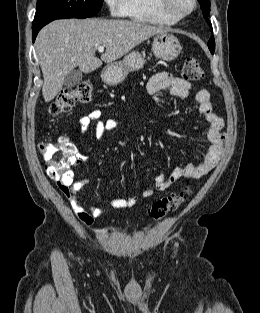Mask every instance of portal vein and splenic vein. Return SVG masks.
Listing matches in <instances>:
<instances>
[{"label":"portal vein and splenic vein","mask_w":260,"mask_h":313,"mask_svg":"<svg viewBox=\"0 0 260 313\" xmlns=\"http://www.w3.org/2000/svg\"><path fill=\"white\" fill-rule=\"evenodd\" d=\"M98 51H99V52H103V51H104V46H99V47H98Z\"/></svg>","instance_id":"1"}]
</instances>
